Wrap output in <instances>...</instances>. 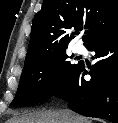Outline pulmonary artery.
Returning <instances> with one entry per match:
<instances>
[{
  "mask_svg": "<svg viewBox=\"0 0 118 123\" xmlns=\"http://www.w3.org/2000/svg\"><path fill=\"white\" fill-rule=\"evenodd\" d=\"M74 52L78 53V54H82L85 52V48L83 45L81 44H77L74 46Z\"/></svg>",
  "mask_w": 118,
  "mask_h": 123,
  "instance_id": "e3ab8cb5",
  "label": "pulmonary artery"
}]
</instances>
